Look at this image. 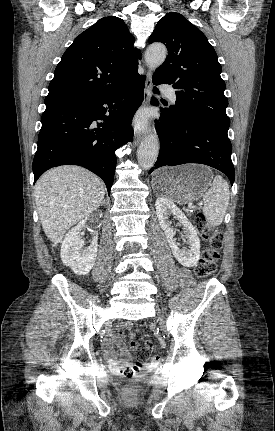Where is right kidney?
Masks as SVG:
<instances>
[{"instance_id":"obj_1","label":"right kidney","mask_w":275,"mask_h":431,"mask_svg":"<svg viewBox=\"0 0 275 431\" xmlns=\"http://www.w3.org/2000/svg\"><path fill=\"white\" fill-rule=\"evenodd\" d=\"M88 226V222L83 220L73 227L66 234L61 246V259L65 266H68L78 275H87L93 268L97 257V234L93 237L88 248H83L85 243L80 237V232Z\"/></svg>"}]
</instances>
